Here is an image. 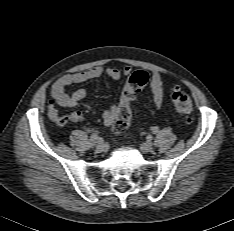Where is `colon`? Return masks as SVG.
Instances as JSON below:
<instances>
[{
	"mask_svg": "<svg viewBox=\"0 0 234 231\" xmlns=\"http://www.w3.org/2000/svg\"><path fill=\"white\" fill-rule=\"evenodd\" d=\"M148 80L149 76L144 71H137L127 79L120 98L119 111L114 124V128L116 131H123L130 126L133 115V103L138 92H140L146 86ZM171 99L175 109L180 114L184 116L191 115L193 105L192 100L188 94L180 90H175L171 95ZM58 123H64V119H59Z\"/></svg>",
	"mask_w": 234,
	"mask_h": 231,
	"instance_id": "colon-1",
	"label": "colon"
}]
</instances>
